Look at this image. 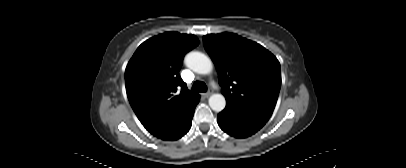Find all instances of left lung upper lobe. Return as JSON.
Returning a JSON list of instances; mask_svg holds the SVG:
<instances>
[{"label":"left lung upper lobe","mask_w":406,"mask_h":168,"mask_svg":"<svg viewBox=\"0 0 406 168\" xmlns=\"http://www.w3.org/2000/svg\"><path fill=\"white\" fill-rule=\"evenodd\" d=\"M227 103L271 116L281 87L280 63L263 46L232 33L203 37Z\"/></svg>","instance_id":"left-lung-upper-lobe-1"}]
</instances>
